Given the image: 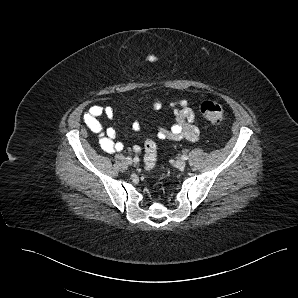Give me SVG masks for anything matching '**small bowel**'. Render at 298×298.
Returning <instances> with one entry per match:
<instances>
[{"instance_id":"obj_1","label":"small bowel","mask_w":298,"mask_h":298,"mask_svg":"<svg viewBox=\"0 0 298 298\" xmlns=\"http://www.w3.org/2000/svg\"><path fill=\"white\" fill-rule=\"evenodd\" d=\"M131 106L135 105V102H130ZM163 104L160 101L152 103V108L160 110ZM169 107L173 110L174 122L169 128L158 127L156 135L160 140H188L195 141L200 137V128L195 113L189 107L186 100L180 102H171ZM115 114L114 108L111 106H102L99 104L91 106L84 114L83 121L85 125L94 133L100 137V146L106 153H118L123 151L124 144L120 141H116V130L114 128L104 129L99 118L106 116L107 118H113ZM132 129L135 132L140 131L141 126L139 121L135 120L132 123ZM133 150L138 152L139 146H134Z\"/></svg>"}]
</instances>
